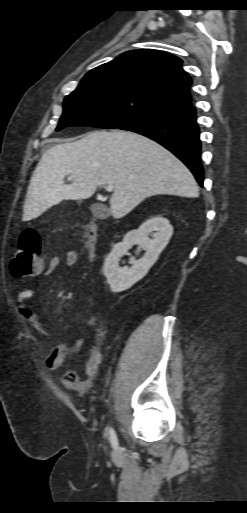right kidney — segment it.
Wrapping results in <instances>:
<instances>
[{
    "mask_svg": "<svg viewBox=\"0 0 247 513\" xmlns=\"http://www.w3.org/2000/svg\"><path fill=\"white\" fill-rule=\"evenodd\" d=\"M173 234L168 219L154 217L144 222L138 230L128 232L123 241L116 244L105 260L104 275L113 292L129 289L142 279L157 261L159 254L167 246ZM151 238H150V237ZM139 245L146 252L138 260L131 259L132 266L119 268L120 258L133 246Z\"/></svg>",
    "mask_w": 247,
    "mask_h": 513,
    "instance_id": "obj_1",
    "label": "right kidney"
}]
</instances>
